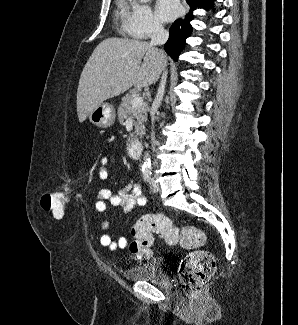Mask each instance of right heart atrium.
Listing matches in <instances>:
<instances>
[{
	"label": "right heart atrium",
	"mask_w": 298,
	"mask_h": 325,
	"mask_svg": "<svg viewBox=\"0 0 298 325\" xmlns=\"http://www.w3.org/2000/svg\"><path fill=\"white\" fill-rule=\"evenodd\" d=\"M131 22L127 25L126 36L132 41H150V30H162V26L146 1L135 2L131 7Z\"/></svg>",
	"instance_id": "right-heart-atrium-1"
}]
</instances>
